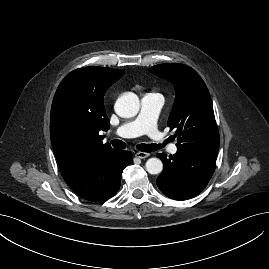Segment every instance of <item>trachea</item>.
Listing matches in <instances>:
<instances>
[{
  "label": "trachea",
  "instance_id": "obj_1",
  "mask_svg": "<svg viewBox=\"0 0 269 269\" xmlns=\"http://www.w3.org/2000/svg\"><path fill=\"white\" fill-rule=\"evenodd\" d=\"M111 144L114 148L116 149H125L126 148V144L125 142L115 139L111 141ZM137 150L142 151V152H153L156 151L160 148H162V146L158 145V144H139L136 146Z\"/></svg>",
  "mask_w": 269,
  "mask_h": 269
}]
</instances>
